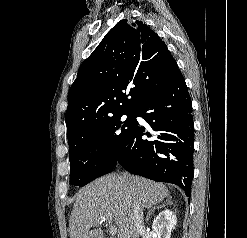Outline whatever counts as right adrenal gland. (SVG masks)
<instances>
[{"mask_svg":"<svg viewBox=\"0 0 247 238\" xmlns=\"http://www.w3.org/2000/svg\"><path fill=\"white\" fill-rule=\"evenodd\" d=\"M168 204H170V201H169V200H167V203H166V204H162V205L153 207L152 209H149V210H148V213H147V216H146V221H145V222L148 223L149 218H150L152 212H154L156 209L163 208V207H165V206L168 205Z\"/></svg>","mask_w":247,"mask_h":238,"instance_id":"2a0ac1e0","label":"right adrenal gland"}]
</instances>
